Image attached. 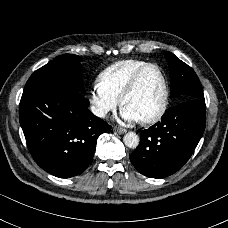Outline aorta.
Instances as JSON below:
<instances>
[{"label": "aorta", "mask_w": 228, "mask_h": 228, "mask_svg": "<svg viewBox=\"0 0 228 228\" xmlns=\"http://www.w3.org/2000/svg\"><path fill=\"white\" fill-rule=\"evenodd\" d=\"M139 137L134 132H129L124 137V145L130 149H136L139 145Z\"/></svg>", "instance_id": "1"}]
</instances>
